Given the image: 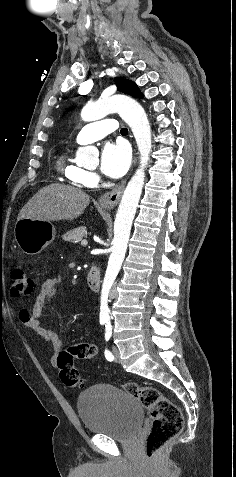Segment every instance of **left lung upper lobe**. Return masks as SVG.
<instances>
[{
  "label": "left lung upper lobe",
  "instance_id": "obj_1",
  "mask_svg": "<svg viewBox=\"0 0 236 477\" xmlns=\"http://www.w3.org/2000/svg\"><path fill=\"white\" fill-rule=\"evenodd\" d=\"M117 90L134 97L142 98V93L139 91L137 85L129 80L116 78Z\"/></svg>",
  "mask_w": 236,
  "mask_h": 477
}]
</instances>
